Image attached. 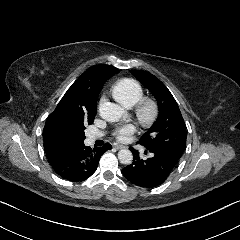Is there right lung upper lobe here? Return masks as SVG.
I'll use <instances>...</instances> for the list:
<instances>
[{
	"label": "right lung upper lobe",
	"instance_id": "cb5924a9",
	"mask_svg": "<svg viewBox=\"0 0 240 240\" xmlns=\"http://www.w3.org/2000/svg\"><path fill=\"white\" fill-rule=\"evenodd\" d=\"M118 72L119 69L109 65H95L73 83L46 121L43 130L45 152L78 146L69 145L60 138L62 122L71 117L95 118L97 98L103 84Z\"/></svg>",
	"mask_w": 240,
	"mask_h": 240
}]
</instances>
